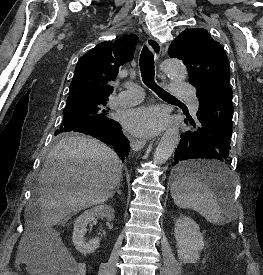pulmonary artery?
Wrapping results in <instances>:
<instances>
[{"label":"pulmonary artery","instance_id":"1","mask_svg":"<svg viewBox=\"0 0 263 275\" xmlns=\"http://www.w3.org/2000/svg\"><path fill=\"white\" fill-rule=\"evenodd\" d=\"M171 91L175 95L183 97L189 104L193 113L198 110V100L194 88L187 83L173 82L171 84ZM143 93L141 88L134 83H129L126 90L121 92L118 96V103L123 106H130L139 103L142 100Z\"/></svg>","mask_w":263,"mask_h":275}]
</instances>
